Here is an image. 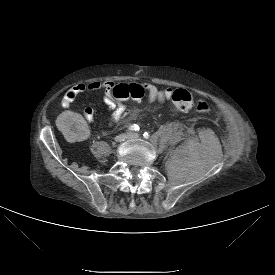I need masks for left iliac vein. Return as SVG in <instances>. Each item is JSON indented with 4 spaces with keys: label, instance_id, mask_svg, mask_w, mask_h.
<instances>
[{
    "label": "left iliac vein",
    "instance_id": "obj_1",
    "mask_svg": "<svg viewBox=\"0 0 275 275\" xmlns=\"http://www.w3.org/2000/svg\"><path fill=\"white\" fill-rule=\"evenodd\" d=\"M129 138L130 139H137V138H139V134L138 133H131V134H129Z\"/></svg>",
    "mask_w": 275,
    "mask_h": 275
}]
</instances>
